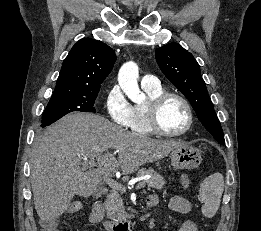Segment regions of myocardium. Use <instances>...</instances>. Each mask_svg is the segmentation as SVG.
<instances>
[{"label":"myocardium","instance_id":"myocardium-1","mask_svg":"<svg viewBox=\"0 0 261 231\" xmlns=\"http://www.w3.org/2000/svg\"><path fill=\"white\" fill-rule=\"evenodd\" d=\"M171 98H176L183 103L188 116V121L186 126L182 130L177 132H168L164 130L161 127L159 121V114L162 106L167 100ZM146 112H147L148 125L150 126V128L155 134L162 135V136H167V137L182 136L192 128L194 122V114H193V109L191 104L183 95L175 92H163L162 94L148 101L146 104Z\"/></svg>","mask_w":261,"mask_h":231}]
</instances>
